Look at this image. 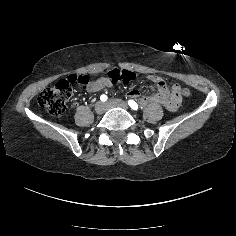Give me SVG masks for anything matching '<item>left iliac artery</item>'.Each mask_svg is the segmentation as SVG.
<instances>
[{
	"label": "left iliac artery",
	"mask_w": 236,
	"mask_h": 236,
	"mask_svg": "<svg viewBox=\"0 0 236 236\" xmlns=\"http://www.w3.org/2000/svg\"><path fill=\"white\" fill-rule=\"evenodd\" d=\"M128 104H129V106H130L133 110H138V105H137V103H136L135 101L129 100V101H128Z\"/></svg>",
	"instance_id": "1"
}]
</instances>
